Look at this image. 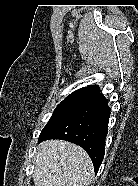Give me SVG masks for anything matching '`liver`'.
<instances>
[{"label":"liver","mask_w":138,"mask_h":186,"mask_svg":"<svg viewBox=\"0 0 138 186\" xmlns=\"http://www.w3.org/2000/svg\"><path fill=\"white\" fill-rule=\"evenodd\" d=\"M92 179V162L81 147L62 140H47L38 145L35 186H88Z\"/></svg>","instance_id":"obj_1"}]
</instances>
